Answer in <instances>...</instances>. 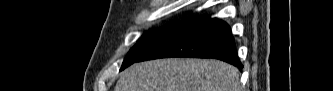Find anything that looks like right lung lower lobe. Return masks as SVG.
<instances>
[{"label": "right lung lower lobe", "mask_w": 333, "mask_h": 91, "mask_svg": "<svg viewBox=\"0 0 333 91\" xmlns=\"http://www.w3.org/2000/svg\"><path fill=\"white\" fill-rule=\"evenodd\" d=\"M168 57L214 58L243 68L230 27L209 16L189 20L136 62Z\"/></svg>", "instance_id": "98d812e1"}]
</instances>
